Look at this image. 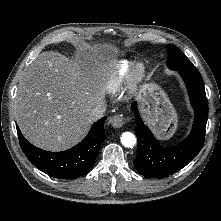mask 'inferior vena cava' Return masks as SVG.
I'll list each match as a JSON object with an SVG mask.
<instances>
[{
	"label": "inferior vena cava",
	"mask_w": 221,
	"mask_h": 221,
	"mask_svg": "<svg viewBox=\"0 0 221 221\" xmlns=\"http://www.w3.org/2000/svg\"><path fill=\"white\" fill-rule=\"evenodd\" d=\"M106 111V105L104 103L97 105L91 112V116L94 120H98L103 117Z\"/></svg>",
	"instance_id": "602c4592"
}]
</instances>
